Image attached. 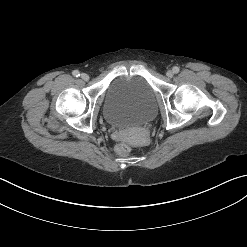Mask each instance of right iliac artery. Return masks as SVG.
Here are the masks:
<instances>
[{
  "label": "right iliac artery",
  "instance_id": "82829eb1",
  "mask_svg": "<svg viewBox=\"0 0 247 247\" xmlns=\"http://www.w3.org/2000/svg\"><path fill=\"white\" fill-rule=\"evenodd\" d=\"M72 74H73L74 77H79V76H80V73H79V71H77V70H74V71L72 72Z\"/></svg>",
  "mask_w": 247,
  "mask_h": 247
}]
</instances>
